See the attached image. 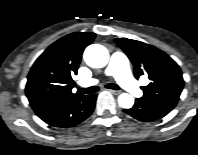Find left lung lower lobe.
Instances as JSON below:
<instances>
[{"label": "left lung lower lobe", "mask_w": 198, "mask_h": 155, "mask_svg": "<svg viewBox=\"0 0 198 155\" xmlns=\"http://www.w3.org/2000/svg\"><path fill=\"white\" fill-rule=\"evenodd\" d=\"M174 107L173 103L146 102L137 98L134 106L124 112L140 121L150 122L164 117Z\"/></svg>", "instance_id": "obj_1"}]
</instances>
